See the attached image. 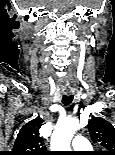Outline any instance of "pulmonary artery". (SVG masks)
I'll list each match as a JSON object with an SVG mask.
<instances>
[{"label":"pulmonary artery","mask_w":115,"mask_h":155,"mask_svg":"<svg viewBox=\"0 0 115 155\" xmlns=\"http://www.w3.org/2000/svg\"><path fill=\"white\" fill-rule=\"evenodd\" d=\"M72 146L76 151H85L91 148L90 142L81 135H78L73 139Z\"/></svg>","instance_id":"pulmonary-artery-1"}]
</instances>
